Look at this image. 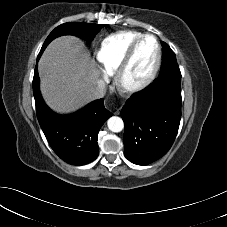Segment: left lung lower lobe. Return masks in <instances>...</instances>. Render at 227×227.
<instances>
[{"label": "left lung lower lobe", "mask_w": 227, "mask_h": 227, "mask_svg": "<svg viewBox=\"0 0 227 227\" xmlns=\"http://www.w3.org/2000/svg\"><path fill=\"white\" fill-rule=\"evenodd\" d=\"M125 132L124 155L148 165L171 148L181 119V84L154 80L133 94L121 110Z\"/></svg>", "instance_id": "1"}]
</instances>
